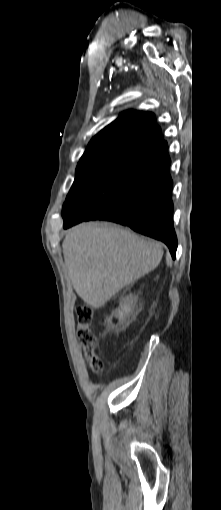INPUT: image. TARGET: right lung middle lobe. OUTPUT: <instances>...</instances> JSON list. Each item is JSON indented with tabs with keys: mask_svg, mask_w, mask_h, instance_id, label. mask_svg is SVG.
I'll list each match as a JSON object with an SVG mask.
<instances>
[{
	"mask_svg": "<svg viewBox=\"0 0 221 510\" xmlns=\"http://www.w3.org/2000/svg\"><path fill=\"white\" fill-rule=\"evenodd\" d=\"M153 153L127 149L81 158L63 205V217L81 203L91 214L107 213L125 197L134 178Z\"/></svg>",
	"mask_w": 221,
	"mask_h": 510,
	"instance_id": "dd1d6c3e",
	"label": "right lung middle lobe"
}]
</instances>
